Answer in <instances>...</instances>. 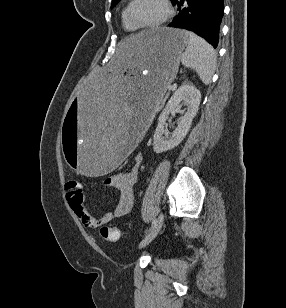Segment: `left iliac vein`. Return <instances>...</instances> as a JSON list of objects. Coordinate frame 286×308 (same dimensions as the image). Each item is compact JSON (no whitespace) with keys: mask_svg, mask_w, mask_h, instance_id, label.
<instances>
[{"mask_svg":"<svg viewBox=\"0 0 286 308\" xmlns=\"http://www.w3.org/2000/svg\"><path fill=\"white\" fill-rule=\"evenodd\" d=\"M164 216L162 213L159 214V216L156 219V223L154 224L153 228L149 232V234L141 241L140 247H145L148 245L151 241L154 240V238L158 235L160 232L162 225H163Z\"/></svg>","mask_w":286,"mask_h":308,"instance_id":"4c4485c4","label":"left iliac vein"}]
</instances>
